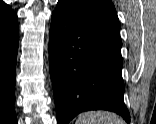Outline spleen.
I'll return each mask as SVG.
<instances>
[{"label": "spleen", "mask_w": 156, "mask_h": 124, "mask_svg": "<svg viewBox=\"0 0 156 124\" xmlns=\"http://www.w3.org/2000/svg\"><path fill=\"white\" fill-rule=\"evenodd\" d=\"M75 124H125V122L115 113L90 111L80 114Z\"/></svg>", "instance_id": "spleen-1"}]
</instances>
